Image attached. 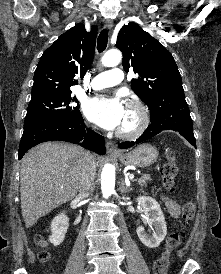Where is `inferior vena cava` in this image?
Wrapping results in <instances>:
<instances>
[{
    "label": "inferior vena cava",
    "mask_w": 221,
    "mask_h": 274,
    "mask_svg": "<svg viewBox=\"0 0 221 274\" xmlns=\"http://www.w3.org/2000/svg\"><path fill=\"white\" fill-rule=\"evenodd\" d=\"M96 175V162L94 156L87 153L82 165V173L79 182V195L88 197L94 189V180Z\"/></svg>",
    "instance_id": "obj_1"
}]
</instances>
